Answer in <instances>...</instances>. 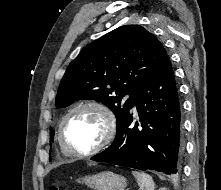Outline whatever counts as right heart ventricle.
<instances>
[{
  "label": "right heart ventricle",
  "mask_w": 221,
  "mask_h": 190,
  "mask_svg": "<svg viewBox=\"0 0 221 190\" xmlns=\"http://www.w3.org/2000/svg\"><path fill=\"white\" fill-rule=\"evenodd\" d=\"M60 149H61V151H62V153H64V154H66V155H68L63 149H62V147L60 146Z\"/></svg>",
  "instance_id": "right-heart-ventricle-1"
}]
</instances>
